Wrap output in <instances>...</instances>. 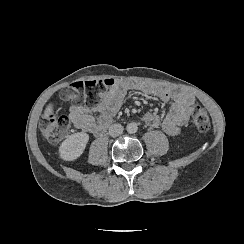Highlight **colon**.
Listing matches in <instances>:
<instances>
[{"instance_id": "obj_1", "label": "colon", "mask_w": 244, "mask_h": 244, "mask_svg": "<svg viewBox=\"0 0 244 244\" xmlns=\"http://www.w3.org/2000/svg\"><path fill=\"white\" fill-rule=\"evenodd\" d=\"M113 79L107 78L90 83L83 90L84 82H76L63 87L59 91V96L63 100L72 98L75 101H82L85 96L87 104L92 105L99 101L100 94L106 88L112 86ZM83 92L85 94L83 95ZM191 121L195 129L205 132L210 128V118L207 111L200 105L195 104L192 108ZM70 122L60 113L58 108L46 111L40 121V131L43 137L50 143L62 140L68 133Z\"/></svg>"}]
</instances>
